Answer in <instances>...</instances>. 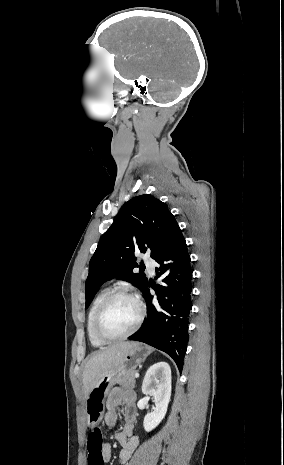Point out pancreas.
Listing matches in <instances>:
<instances>
[{
    "mask_svg": "<svg viewBox=\"0 0 284 465\" xmlns=\"http://www.w3.org/2000/svg\"><path fill=\"white\" fill-rule=\"evenodd\" d=\"M135 373L136 371H132V373H127V375H118L116 383L121 385L123 389H134L135 387Z\"/></svg>",
    "mask_w": 284,
    "mask_h": 465,
    "instance_id": "obj_1",
    "label": "pancreas"
}]
</instances>
